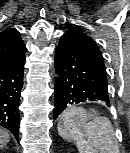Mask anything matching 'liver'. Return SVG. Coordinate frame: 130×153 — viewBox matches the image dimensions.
Listing matches in <instances>:
<instances>
[{
  "label": "liver",
  "mask_w": 130,
  "mask_h": 153,
  "mask_svg": "<svg viewBox=\"0 0 130 153\" xmlns=\"http://www.w3.org/2000/svg\"><path fill=\"white\" fill-rule=\"evenodd\" d=\"M10 140L9 133L0 128V148L4 147Z\"/></svg>",
  "instance_id": "1"
}]
</instances>
